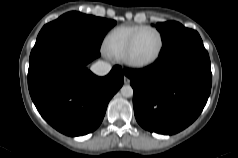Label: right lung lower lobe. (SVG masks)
Masks as SVG:
<instances>
[{"label":"right lung lower lobe","mask_w":238,"mask_h":158,"mask_svg":"<svg viewBox=\"0 0 238 158\" xmlns=\"http://www.w3.org/2000/svg\"><path fill=\"white\" fill-rule=\"evenodd\" d=\"M99 50L71 34L55 32L36 40L31 51L30 96L41 116L65 135L97 129L110 99L123 85L120 66L105 77L85 67L100 56Z\"/></svg>","instance_id":"98d812e1"}]
</instances>
